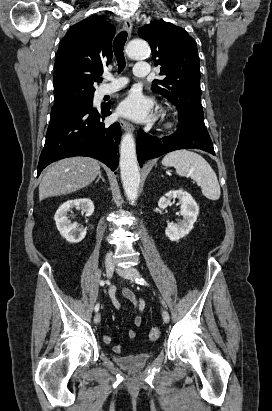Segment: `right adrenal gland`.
Instances as JSON below:
<instances>
[{
    "mask_svg": "<svg viewBox=\"0 0 272 411\" xmlns=\"http://www.w3.org/2000/svg\"><path fill=\"white\" fill-rule=\"evenodd\" d=\"M100 179H101L103 182H105V179L103 178L101 172H99V174H98V178H97V180H96V183L99 182Z\"/></svg>",
    "mask_w": 272,
    "mask_h": 411,
    "instance_id": "1",
    "label": "right adrenal gland"
}]
</instances>
